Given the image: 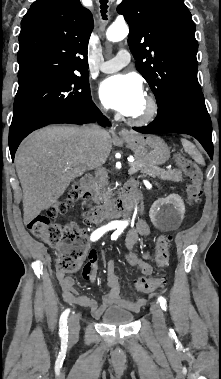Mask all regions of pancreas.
Returning a JSON list of instances; mask_svg holds the SVG:
<instances>
[{
    "label": "pancreas",
    "instance_id": "1",
    "mask_svg": "<svg viewBox=\"0 0 221 379\" xmlns=\"http://www.w3.org/2000/svg\"><path fill=\"white\" fill-rule=\"evenodd\" d=\"M131 168H135L134 172L140 171L144 175L151 176V177H158L162 180H168L173 182H179L182 181V172L177 169L172 170H163L158 168L157 166H151L145 163L144 161L137 159L130 164ZM103 188L102 184H96L94 187V193L95 197L100 200H105L110 197L112 194V189L108 188L107 190H104L101 192V189Z\"/></svg>",
    "mask_w": 221,
    "mask_h": 379
}]
</instances>
